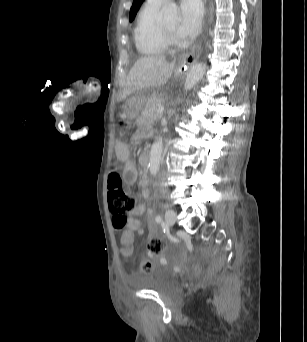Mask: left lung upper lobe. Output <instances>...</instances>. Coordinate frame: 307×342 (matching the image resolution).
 Returning a JSON list of instances; mask_svg holds the SVG:
<instances>
[{
	"label": "left lung upper lobe",
	"mask_w": 307,
	"mask_h": 342,
	"mask_svg": "<svg viewBox=\"0 0 307 342\" xmlns=\"http://www.w3.org/2000/svg\"><path fill=\"white\" fill-rule=\"evenodd\" d=\"M144 0H133V5L130 9V17L129 20L132 22Z\"/></svg>",
	"instance_id": "1"
}]
</instances>
